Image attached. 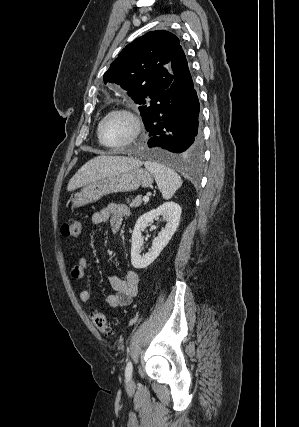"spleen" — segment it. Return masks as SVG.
I'll return each mask as SVG.
<instances>
[{
	"label": "spleen",
	"mask_w": 299,
	"mask_h": 427,
	"mask_svg": "<svg viewBox=\"0 0 299 427\" xmlns=\"http://www.w3.org/2000/svg\"><path fill=\"white\" fill-rule=\"evenodd\" d=\"M144 166L154 176L164 199L172 198L182 186L181 177L173 169L151 160L146 161Z\"/></svg>",
	"instance_id": "spleen-1"
}]
</instances>
